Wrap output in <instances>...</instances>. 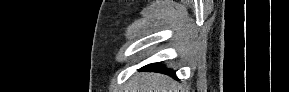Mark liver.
Listing matches in <instances>:
<instances>
[{"instance_id": "obj_1", "label": "liver", "mask_w": 289, "mask_h": 92, "mask_svg": "<svg viewBox=\"0 0 289 92\" xmlns=\"http://www.w3.org/2000/svg\"><path fill=\"white\" fill-rule=\"evenodd\" d=\"M176 90V82L159 73H137L125 88V92H176Z\"/></svg>"}]
</instances>
